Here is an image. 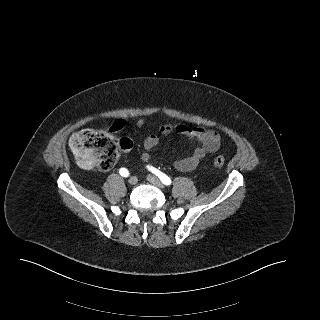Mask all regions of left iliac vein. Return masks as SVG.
I'll return each mask as SVG.
<instances>
[{
	"label": "left iliac vein",
	"mask_w": 320,
	"mask_h": 320,
	"mask_svg": "<svg viewBox=\"0 0 320 320\" xmlns=\"http://www.w3.org/2000/svg\"><path fill=\"white\" fill-rule=\"evenodd\" d=\"M147 180L154 186H157L160 189H164L163 183L156 176L148 175Z\"/></svg>",
	"instance_id": "obj_1"
}]
</instances>
